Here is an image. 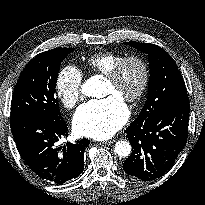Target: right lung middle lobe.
<instances>
[{
  "label": "right lung middle lobe",
  "mask_w": 205,
  "mask_h": 205,
  "mask_svg": "<svg viewBox=\"0 0 205 205\" xmlns=\"http://www.w3.org/2000/svg\"><path fill=\"white\" fill-rule=\"evenodd\" d=\"M74 48H56L36 55L23 69L11 102V116L34 115L61 121L55 97L56 81L62 60Z\"/></svg>",
  "instance_id": "dd1d6c3e"
}]
</instances>
